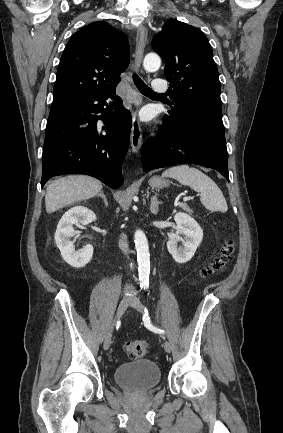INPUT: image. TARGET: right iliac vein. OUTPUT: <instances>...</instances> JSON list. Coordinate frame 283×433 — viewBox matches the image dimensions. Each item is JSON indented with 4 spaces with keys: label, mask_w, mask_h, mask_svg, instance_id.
<instances>
[{
    "label": "right iliac vein",
    "mask_w": 283,
    "mask_h": 433,
    "mask_svg": "<svg viewBox=\"0 0 283 433\" xmlns=\"http://www.w3.org/2000/svg\"><path fill=\"white\" fill-rule=\"evenodd\" d=\"M129 304H130V300L128 298L122 299V301L119 304L117 313H116L114 324L117 320H119L122 317L123 313L125 312V310L127 309ZM114 324L108 329V331L105 335L104 342H103L104 350H108L110 345H111Z\"/></svg>",
    "instance_id": "63e3f726"
}]
</instances>
